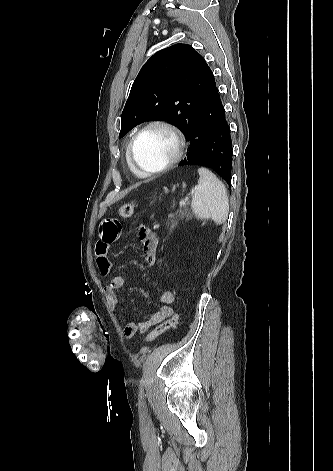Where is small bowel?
<instances>
[{
	"label": "small bowel",
	"instance_id": "obj_1",
	"mask_svg": "<svg viewBox=\"0 0 333 471\" xmlns=\"http://www.w3.org/2000/svg\"><path fill=\"white\" fill-rule=\"evenodd\" d=\"M122 226L117 218H104L100 223V238L95 246L97 266L102 276H107L112 270V261L109 258V249L121 234ZM138 236L142 242L143 254L148 265L152 266L156 262L158 237L154 231L146 226H141ZM125 279L122 275H115L105 285L104 294L110 308H115L118 304L117 291L124 285ZM161 307L149 319L140 323L128 322L124 326V336L132 339L137 333H145L154 325L163 322L174 313L172 305L175 302V295L172 291H163L160 296Z\"/></svg>",
	"mask_w": 333,
	"mask_h": 471
}]
</instances>
